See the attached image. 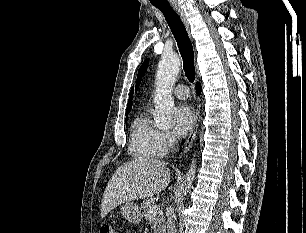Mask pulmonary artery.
<instances>
[{
	"label": "pulmonary artery",
	"mask_w": 306,
	"mask_h": 233,
	"mask_svg": "<svg viewBox=\"0 0 306 233\" xmlns=\"http://www.w3.org/2000/svg\"><path fill=\"white\" fill-rule=\"evenodd\" d=\"M174 95L179 99H187L190 95L189 89L186 85H178L173 89Z\"/></svg>",
	"instance_id": "e3ab8cb5"
}]
</instances>
